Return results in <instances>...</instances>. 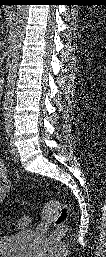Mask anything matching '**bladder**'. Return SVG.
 Instances as JSON below:
<instances>
[{
  "instance_id": "bladder-1",
  "label": "bladder",
  "mask_w": 106,
  "mask_h": 257,
  "mask_svg": "<svg viewBox=\"0 0 106 257\" xmlns=\"http://www.w3.org/2000/svg\"><path fill=\"white\" fill-rule=\"evenodd\" d=\"M33 237L32 230L1 237L0 255L2 257H27L32 248Z\"/></svg>"
}]
</instances>
